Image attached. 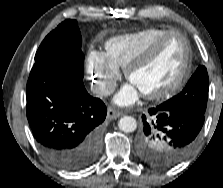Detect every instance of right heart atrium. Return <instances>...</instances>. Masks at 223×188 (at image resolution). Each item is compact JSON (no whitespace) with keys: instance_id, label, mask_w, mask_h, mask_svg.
Instances as JSON below:
<instances>
[{"instance_id":"d8ad5b80","label":"right heart atrium","mask_w":223,"mask_h":188,"mask_svg":"<svg viewBox=\"0 0 223 188\" xmlns=\"http://www.w3.org/2000/svg\"><path fill=\"white\" fill-rule=\"evenodd\" d=\"M86 72L94 92L99 96L112 93L120 73L103 52L91 51L86 61Z\"/></svg>"}]
</instances>
